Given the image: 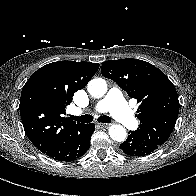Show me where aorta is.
<instances>
[{
	"label": "aorta",
	"mask_w": 196,
	"mask_h": 196,
	"mask_svg": "<svg viewBox=\"0 0 196 196\" xmlns=\"http://www.w3.org/2000/svg\"><path fill=\"white\" fill-rule=\"evenodd\" d=\"M87 89L91 96L101 98L107 92V83L102 78L93 79L88 83ZM109 135L111 139L118 142H123L127 137V132L123 126L115 124L110 126Z\"/></svg>",
	"instance_id": "762f6f07"
}]
</instances>
